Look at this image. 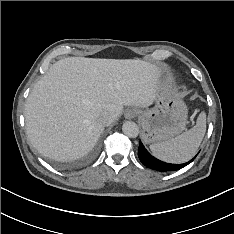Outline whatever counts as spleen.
<instances>
[{"mask_svg": "<svg viewBox=\"0 0 234 234\" xmlns=\"http://www.w3.org/2000/svg\"><path fill=\"white\" fill-rule=\"evenodd\" d=\"M205 132L206 114L201 112L194 127L171 140L151 144L150 150L165 162L184 163L196 154Z\"/></svg>", "mask_w": 234, "mask_h": 234, "instance_id": "obj_1", "label": "spleen"}]
</instances>
